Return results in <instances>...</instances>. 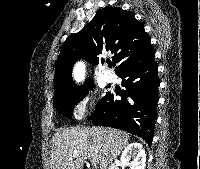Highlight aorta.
Listing matches in <instances>:
<instances>
[{"mask_svg": "<svg viewBox=\"0 0 200 169\" xmlns=\"http://www.w3.org/2000/svg\"><path fill=\"white\" fill-rule=\"evenodd\" d=\"M75 77L79 80L84 74V68L82 64H78L74 70Z\"/></svg>", "mask_w": 200, "mask_h": 169, "instance_id": "obj_1", "label": "aorta"}]
</instances>
